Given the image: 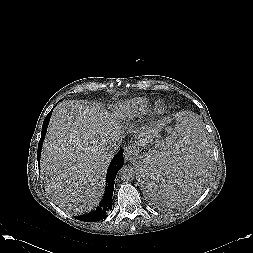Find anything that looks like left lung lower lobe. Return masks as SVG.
<instances>
[{
  "label": "left lung lower lobe",
  "instance_id": "1",
  "mask_svg": "<svg viewBox=\"0 0 253 253\" xmlns=\"http://www.w3.org/2000/svg\"><path fill=\"white\" fill-rule=\"evenodd\" d=\"M199 165V161H191L186 168L172 172L163 164H151L144 174V181L154 198L162 201L183 198L189 192L188 185L192 182L189 178L198 174Z\"/></svg>",
  "mask_w": 253,
  "mask_h": 253
}]
</instances>
